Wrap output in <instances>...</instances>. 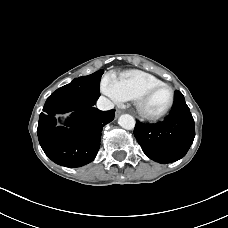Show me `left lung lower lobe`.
<instances>
[{"instance_id": "left-lung-lower-lobe-1", "label": "left lung lower lobe", "mask_w": 228, "mask_h": 228, "mask_svg": "<svg viewBox=\"0 0 228 228\" xmlns=\"http://www.w3.org/2000/svg\"><path fill=\"white\" fill-rule=\"evenodd\" d=\"M134 135L143 152L159 163H170L184 157L195 137L194 120L183 94L175 92L171 112L163 122H136Z\"/></svg>"}]
</instances>
